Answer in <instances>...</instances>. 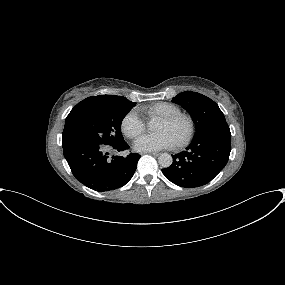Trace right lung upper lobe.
I'll return each mask as SVG.
<instances>
[{"label": "right lung upper lobe", "mask_w": 285, "mask_h": 285, "mask_svg": "<svg viewBox=\"0 0 285 285\" xmlns=\"http://www.w3.org/2000/svg\"><path fill=\"white\" fill-rule=\"evenodd\" d=\"M123 101H129L125 97L122 96H115V95H98V96H92L84 99L80 103H78L71 112H74L78 109L92 106V105H98V104H108V103H114V102H123Z\"/></svg>", "instance_id": "1"}]
</instances>
